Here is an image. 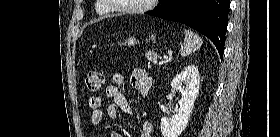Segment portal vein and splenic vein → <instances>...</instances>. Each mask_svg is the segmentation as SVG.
Here are the masks:
<instances>
[{"label":"portal vein and splenic vein","mask_w":280,"mask_h":137,"mask_svg":"<svg viewBox=\"0 0 280 137\" xmlns=\"http://www.w3.org/2000/svg\"><path fill=\"white\" fill-rule=\"evenodd\" d=\"M163 59H164V60L168 59V56H164Z\"/></svg>","instance_id":"1"}]
</instances>
